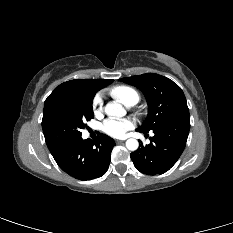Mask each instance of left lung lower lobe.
<instances>
[{
    "instance_id": "1",
    "label": "left lung lower lobe",
    "mask_w": 233,
    "mask_h": 233,
    "mask_svg": "<svg viewBox=\"0 0 233 233\" xmlns=\"http://www.w3.org/2000/svg\"><path fill=\"white\" fill-rule=\"evenodd\" d=\"M189 130L190 119L167 123L153 130L155 135L150 137V144L141 145L138 150L130 154L134 166L148 175L165 173L181 156Z\"/></svg>"
}]
</instances>
